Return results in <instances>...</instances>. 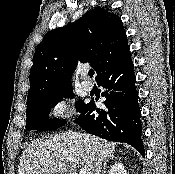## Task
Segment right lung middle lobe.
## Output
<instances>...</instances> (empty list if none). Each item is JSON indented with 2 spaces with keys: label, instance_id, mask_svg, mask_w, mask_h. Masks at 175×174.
Returning a JSON list of instances; mask_svg holds the SVG:
<instances>
[{
  "label": "right lung middle lobe",
  "instance_id": "obj_1",
  "mask_svg": "<svg viewBox=\"0 0 175 174\" xmlns=\"http://www.w3.org/2000/svg\"><path fill=\"white\" fill-rule=\"evenodd\" d=\"M61 97L73 98L72 89L55 92L27 103L26 129L28 131H51L62 127L66 123V120L61 121L57 118L53 120L48 119L49 110L61 100ZM84 107L85 104L82 101L76 102L78 112L81 113Z\"/></svg>",
  "mask_w": 175,
  "mask_h": 174
}]
</instances>
